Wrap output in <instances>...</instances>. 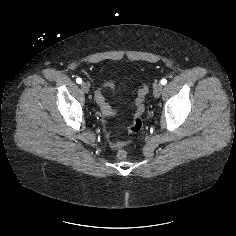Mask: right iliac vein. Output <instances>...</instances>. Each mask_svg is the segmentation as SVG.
<instances>
[{
    "instance_id": "right-iliac-vein-1",
    "label": "right iliac vein",
    "mask_w": 236,
    "mask_h": 236,
    "mask_svg": "<svg viewBox=\"0 0 236 236\" xmlns=\"http://www.w3.org/2000/svg\"><path fill=\"white\" fill-rule=\"evenodd\" d=\"M81 89H82L85 93H88V92H89V84H88L87 82L81 83Z\"/></svg>"
}]
</instances>
